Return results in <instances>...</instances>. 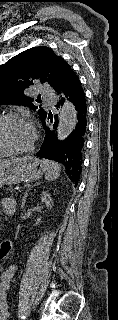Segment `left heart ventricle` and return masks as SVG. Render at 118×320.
Wrapping results in <instances>:
<instances>
[{"instance_id":"obj_1","label":"left heart ventricle","mask_w":118,"mask_h":320,"mask_svg":"<svg viewBox=\"0 0 118 320\" xmlns=\"http://www.w3.org/2000/svg\"><path fill=\"white\" fill-rule=\"evenodd\" d=\"M32 137V129L26 122L9 121L0 126V142L9 149L25 148Z\"/></svg>"}]
</instances>
